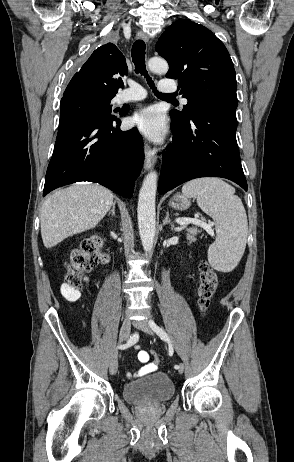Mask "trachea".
I'll return each instance as SVG.
<instances>
[{
  "instance_id": "obj_1",
  "label": "trachea",
  "mask_w": 294,
  "mask_h": 462,
  "mask_svg": "<svg viewBox=\"0 0 294 462\" xmlns=\"http://www.w3.org/2000/svg\"><path fill=\"white\" fill-rule=\"evenodd\" d=\"M131 56H132V61L135 65V71L136 73H140L141 75H144V77L147 79V83L149 86L153 89V92L161 98H166V99H174L171 95L168 94H162L158 92L155 88V85L151 78L148 76V72L146 71L145 67V43L142 40H137L132 46L131 50Z\"/></svg>"
}]
</instances>
